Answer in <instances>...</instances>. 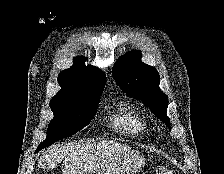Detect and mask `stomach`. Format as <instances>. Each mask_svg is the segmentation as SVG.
Returning a JSON list of instances; mask_svg holds the SVG:
<instances>
[{
	"label": "stomach",
	"mask_w": 224,
	"mask_h": 174,
	"mask_svg": "<svg viewBox=\"0 0 224 174\" xmlns=\"http://www.w3.org/2000/svg\"><path fill=\"white\" fill-rule=\"evenodd\" d=\"M145 158L137 151H131L117 160L85 174H136L144 165Z\"/></svg>",
	"instance_id": "1"
}]
</instances>
